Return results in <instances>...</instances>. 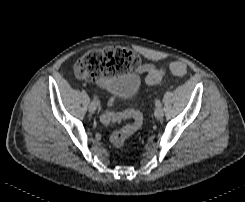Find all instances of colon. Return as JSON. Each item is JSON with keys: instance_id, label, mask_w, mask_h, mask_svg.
Instances as JSON below:
<instances>
[{"instance_id": "5ec220e1", "label": "colon", "mask_w": 245, "mask_h": 202, "mask_svg": "<svg viewBox=\"0 0 245 202\" xmlns=\"http://www.w3.org/2000/svg\"><path fill=\"white\" fill-rule=\"evenodd\" d=\"M138 63L137 56L125 47H110L94 49L85 53L75 63V72L87 80H98L101 77L112 78L123 75L135 67ZM169 71L175 75H184L187 71L185 63L174 61L169 64ZM163 76L161 70L154 72V78L160 80ZM121 119H131L132 123L110 134V144L121 149L126 141L136 134L143 124L140 112L134 109L123 113H115L106 109L101 115L104 124H112Z\"/></svg>"}]
</instances>
